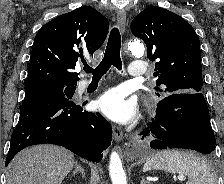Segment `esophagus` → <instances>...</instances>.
<instances>
[{"label":"esophagus","instance_id":"obj_1","mask_svg":"<svg viewBox=\"0 0 224 184\" xmlns=\"http://www.w3.org/2000/svg\"><path fill=\"white\" fill-rule=\"evenodd\" d=\"M117 24L122 33L125 31L126 27V13L124 10H119L117 13ZM113 135L117 142L121 141L123 138V131L120 127L113 125Z\"/></svg>","mask_w":224,"mask_h":184}]
</instances>
